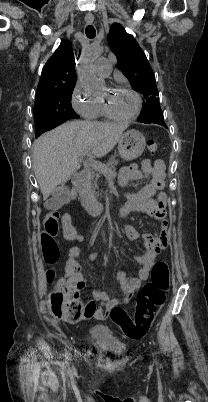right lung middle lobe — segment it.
Here are the masks:
<instances>
[{
	"label": "right lung middle lobe",
	"mask_w": 208,
	"mask_h": 402,
	"mask_svg": "<svg viewBox=\"0 0 208 402\" xmlns=\"http://www.w3.org/2000/svg\"><path fill=\"white\" fill-rule=\"evenodd\" d=\"M74 87L75 84L63 85L36 94L34 105L35 122L48 118H55L62 122L79 118L71 105ZM38 134L40 133L36 130V137Z\"/></svg>",
	"instance_id": "dd1d6c3e"
}]
</instances>
